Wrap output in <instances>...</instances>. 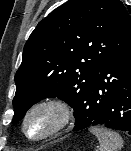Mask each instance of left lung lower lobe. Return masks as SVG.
<instances>
[{
    "instance_id": "1",
    "label": "left lung lower lobe",
    "mask_w": 131,
    "mask_h": 151,
    "mask_svg": "<svg viewBox=\"0 0 131 151\" xmlns=\"http://www.w3.org/2000/svg\"><path fill=\"white\" fill-rule=\"evenodd\" d=\"M90 126L131 135V46L109 59L91 85L73 131Z\"/></svg>"
}]
</instances>
